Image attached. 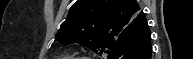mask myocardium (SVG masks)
<instances>
[{"label":"myocardium","instance_id":"1","mask_svg":"<svg viewBox=\"0 0 193 59\" xmlns=\"http://www.w3.org/2000/svg\"><path fill=\"white\" fill-rule=\"evenodd\" d=\"M70 59H91L89 57H77V58H70Z\"/></svg>","mask_w":193,"mask_h":59}]
</instances>
